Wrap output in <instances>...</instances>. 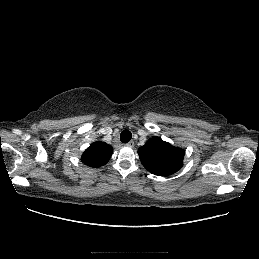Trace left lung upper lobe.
Segmentation results:
<instances>
[{
    "label": "left lung upper lobe",
    "mask_w": 259,
    "mask_h": 259,
    "mask_svg": "<svg viewBox=\"0 0 259 259\" xmlns=\"http://www.w3.org/2000/svg\"><path fill=\"white\" fill-rule=\"evenodd\" d=\"M143 166L152 174L169 176L183 166L184 150L159 137H152L138 149Z\"/></svg>",
    "instance_id": "left-lung-upper-lobe-1"
}]
</instances>
